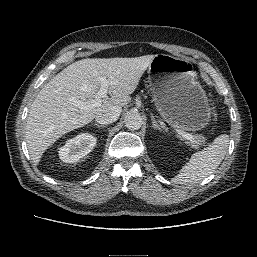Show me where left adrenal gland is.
<instances>
[{
    "mask_svg": "<svg viewBox=\"0 0 257 257\" xmlns=\"http://www.w3.org/2000/svg\"><path fill=\"white\" fill-rule=\"evenodd\" d=\"M151 120H152V127L156 130H160L163 131V129L160 127V125L158 124V122L155 120V117L153 114H151Z\"/></svg>",
    "mask_w": 257,
    "mask_h": 257,
    "instance_id": "1",
    "label": "left adrenal gland"
}]
</instances>
